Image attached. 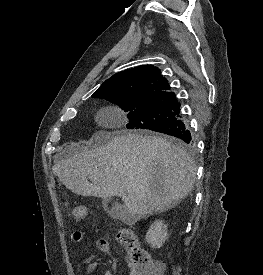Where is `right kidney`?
Returning <instances> with one entry per match:
<instances>
[{"label":"right kidney","instance_id":"1","mask_svg":"<svg viewBox=\"0 0 263 275\" xmlns=\"http://www.w3.org/2000/svg\"><path fill=\"white\" fill-rule=\"evenodd\" d=\"M167 236V225H164L162 220H156L146 233V241L153 248H160L165 243Z\"/></svg>","mask_w":263,"mask_h":275}]
</instances>
